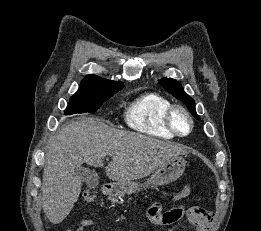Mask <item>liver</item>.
<instances>
[{
    "label": "liver",
    "mask_w": 261,
    "mask_h": 231,
    "mask_svg": "<svg viewBox=\"0 0 261 231\" xmlns=\"http://www.w3.org/2000/svg\"><path fill=\"white\" fill-rule=\"evenodd\" d=\"M180 144L109 127L92 117H80L61 127L46 152L42 183V206L49 221L61 223L81 193L76 168L83 163L102 167L119 184L148 176L170 160L187 154Z\"/></svg>",
    "instance_id": "1"
}]
</instances>
